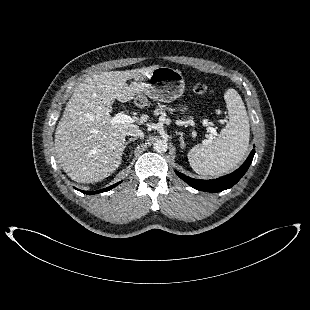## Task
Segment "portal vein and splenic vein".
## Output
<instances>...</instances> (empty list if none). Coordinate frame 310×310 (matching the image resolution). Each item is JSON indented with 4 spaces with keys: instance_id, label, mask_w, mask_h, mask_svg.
Masks as SVG:
<instances>
[{
    "instance_id": "18ae733b",
    "label": "portal vein and splenic vein",
    "mask_w": 310,
    "mask_h": 310,
    "mask_svg": "<svg viewBox=\"0 0 310 310\" xmlns=\"http://www.w3.org/2000/svg\"><path fill=\"white\" fill-rule=\"evenodd\" d=\"M134 120L132 117L123 114V113H117L112 119L111 123L118 124V123H132ZM208 132L211 134L209 135L208 141H211L213 139V135H216V129L213 127H208L207 128Z\"/></svg>"
}]
</instances>
